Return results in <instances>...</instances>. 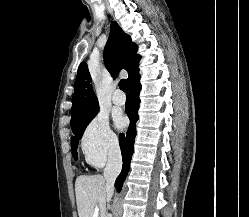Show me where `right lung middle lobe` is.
<instances>
[{
	"label": "right lung middle lobe",
	"instance_id": "obj_1",
	"mask_svg": "<svg viewBox=\"0 0 249 217\" xmlns=\"http://www.w3.org/2000/svg\"><path fill=\"white\" fill-rule=\"evenodd\" d=\"M99 107L95 110L91 111L90 113L86 114L78 121L71 123L73 136L71 138V145H72V154L74 159H77V146L78 142L81 139L83 132L86 126L90 123V121L96 116L98 113Z\"/></svg>",
	"mask_w": 249,
	"mask_h": 217
}]
</instances>
